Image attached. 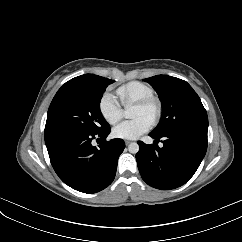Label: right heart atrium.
Here are the masks:
<instances>
[{"label": "right heart atrium", "mask_w": 242, "mask_h": 242, "mask_svg": "<svg viewBox=\"0 0 242 242\" xmlns=\"http://www.w3.org/2000/svg\"><path fill=\"white\" fill-rule=\"evenodd\" d=\"M99 110L103 118L109 124L117 123L123 116V110L116 99L111 93H106L99 102Z\"/></svg>", "instance_id": "1"}]
</instances>
